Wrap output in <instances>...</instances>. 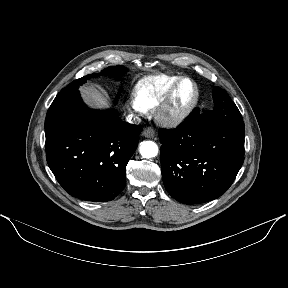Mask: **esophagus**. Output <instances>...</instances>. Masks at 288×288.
<instances>
[{
    "label": "esophagus",
    "mask_w": 288,
    "mask_h": 288,
    "mask_svg": "<svg viewBox=\"0 0 288 288\" xmlns=\"http://www.w3.org/2000/svg\"><path fill=\"white\" fill-rule=\"evenodd\" d=\"M143 135L147 138H154L155 130L152 127H146L143 131Z\"/></svg>",
    "instance_id": "obj_1"
}]
</instances>
